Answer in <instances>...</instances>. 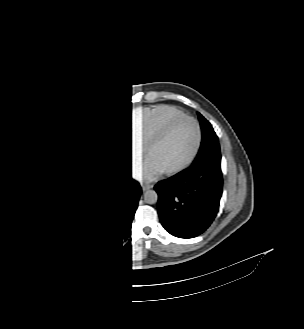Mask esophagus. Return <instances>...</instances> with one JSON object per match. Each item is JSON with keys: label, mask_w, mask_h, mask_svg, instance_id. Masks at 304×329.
<instances>
[{"label": "esophagus", "mask_w": 304, "mask_h": 329, "mask_svg": "<svg viewBox=\"0 0 304 329\" xmlns=\"http://www.w3.org/2000/svg\"><path fill=\"white\" fill-rule=\"evenodd\" d=\"M152 187H153V184H151V183H148V182H143L142 183V189H143V191L149 190Z\"/></svg>", "instance_id": "34e87169"}]
</instances>
